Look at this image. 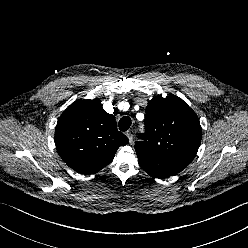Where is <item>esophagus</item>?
Returning <instances> with one entry per match:
<instances>
[{
    "label": "esophagus",
    "instance_id": "1",
    "mask_svg": "<svg viewBox=\"0 0 248 248\" xmlns=\"http://www.w3.org/2000/svg\"><path fill=\"white\" fill-rule=\"evenodd\" d=\"M125 135L127 136L129 142L132 143V140H133V135H132V133H131L130 131H127V132L125 133Z\"/></svg>",
    "mask_w": 248,
    "mask_h": 248
}]
</instances>
